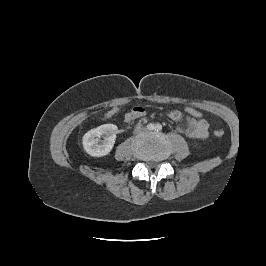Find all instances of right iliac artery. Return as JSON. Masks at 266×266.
<instances>
[{
    "label": "right iliac artery",
    "instance_id": "1",
    "mask_svg": "<svg viewBox=\"0 0 266 266\" xmlns=\"http://www.w3.org/2000/svg\"><path fill=\"white\" fill-rule=\"evenodd\" d=\"M147 129L148 130H154L155 129V125L153 124V123H149L148 125H147Z\"/></svg>",
    "mask_w": 266,
    "mask_h": 266
}]
</instances>
